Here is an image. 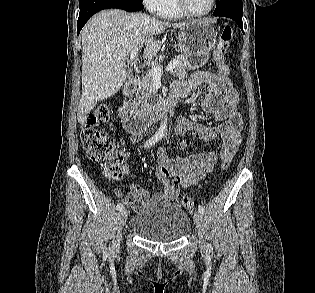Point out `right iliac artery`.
I'll return each instance as SVG.
<instances>
[{
    "label": "right iliac artery",
    "mask_w": 315,
    "mask_h": 293,
    "mask_svg": "<svg viewBox=\"0 0 315 293\" xmlns=\"http://www.w3.org/2000/svg\"><path fill=\"white\" fill-rule=\"evenodd\" d=\"M163 134L160 132L155 133L149 140L146 141L145 147L149 148L152 145H154L156 142H158L162 138ZM123 208L122 203H118L116 209L121 210Z\"/></svg>",
    "instance_id": "right-iliac-artery-1"
}]
</instances>
